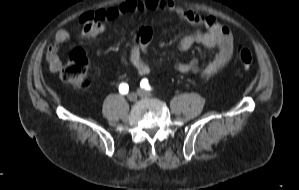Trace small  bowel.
I'll return each instance as SVG.
<instances>
[{"label": "small bowel", "mask_w": 299, "mask_h": 190, "mask_svg": "<svg viewBox=\"0 0 299 190\" xmlns=\"http://www.w3.org/2000/svg\"><path fill=\"white\" fill-rule=\"evenodd\" d=\"M141 10L156 11L165 10L175 13L181 20L192 25L204 26L206 32H196L184 37L179 44V52L185 53L194 45L200 44L208 49L217 48L214 56L202 67L196 57L184 62L174 64V69L179 73H201L210 77L221 70L231 59L234 49L233 35L231 31L220 24L213 15H200L192 10L177 7L172 2L164 0H125L124 2L98 10L86 11L81 14L82 24L80 37L96 38L105 31V22L114 20L126 13ZM71 33L66 29L57 31L54 40L47 49V60L52 72H58L62 67L58 56L60 45L71 39ZM152 41V30L148 26H142L135 39L121 52L123 64L132 66L140 76L149 74L151 67L143 59L150 51Z\"/></svg>", "instance_id": "obj_1"}]
</instances>
